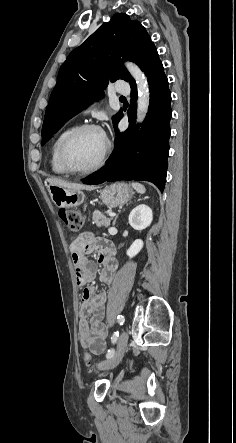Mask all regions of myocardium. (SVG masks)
<instances>
[{"label":"myocardium","instance_id":"1","mask_svg":"<svg viewBox=\"0 0 236 443\" xmlns=\"http://www.w3.org/2000/svg\"><path fill=\"white\" fill-rule=\"evenodd\" d=\"M89 130H97V131H100L101 133H103V135H104V132L99 125H96L93 123H85V124H82V125L76 127L75 129H73L62 141L60 148H59V161H60L61 166L64 168V170L67 173L75 174V175H88V174H92V173L97 172L105 164V162L109 156V153L111 151V145H110V142L108 141L107 138H106L105 149H104L100 159L93 167L88 168V169H77V168H74L73 166H71V164L68 161L67 151H68V148H69V145L71 144V142L75 138H77L79 135H81L82 133L89 131Z\"/></svg>","mask_w":236,"mask_h":443}]
</instances>
